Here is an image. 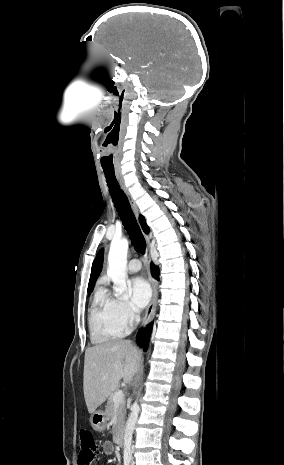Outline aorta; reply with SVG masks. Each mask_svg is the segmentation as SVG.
<instances>
[{"label": "aorta", "mask_w": 284, "mask_h": 465, "mask_svg": "<svg viewBox=\"0 0 284 465\" xmlns=\"http://www.w3.org/2000/svg\"><path fill=\"white\" fill-rule=\"evenodd\" d=\"M128 240L126 238L114 239L111 242L108 254V269L107 275L114 283V291L116 296H120L126 291V267H127V253H128ZM138 392L135 402L131 406V412L128 416L125 431H124V457H131V444L132 436L139 414Z\"/></svg>", "instance_id": "obj_1"}]
</instances>
